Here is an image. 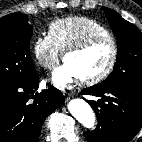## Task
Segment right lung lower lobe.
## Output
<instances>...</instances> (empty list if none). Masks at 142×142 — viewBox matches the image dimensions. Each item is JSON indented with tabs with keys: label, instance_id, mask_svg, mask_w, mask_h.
I'll list each match as a JSON object with an SVG mask.
<instances>
[{
	"label": "right lung lower lobe",
	"instance_id": "right-lung-lower-lobe-1",
	"mask_svg": "<svg viewBox=\"0 0 142 142\" xmlns=\"http://www.w3.org/2000/svg\"><path fill=\"white\" fill-rule=\"evenodd\" d=\"M38 85L36 73L24 83L0 89V142H38L46 117L64 101L57 89L36 92Z\"/></svg>",
	"mask_w": 142,
	"mask_h": 142
}]
</instances>
